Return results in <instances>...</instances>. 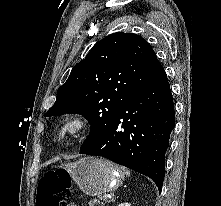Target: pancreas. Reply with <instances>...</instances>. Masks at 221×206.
<instances>
[{
    "instance_id": "pancreas-1",
    "label": "pancreas",
    "mask_w": 221,
    "mask_h": 206,
    "mask_svg": "<svg viewBox=\"0 0 221 206\" xmlns=\"http://www.w3.org/2000/svg\"><path fill=\"white\" fill-rule=\"evenodd\" d=\"M103 199H104L103 197H100L99 200L94 199L89 202V206H94L95 204L100 205L101 204L100 200H103Z\"/></svg>"
}]
</instances>
